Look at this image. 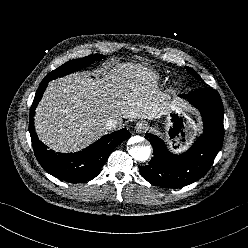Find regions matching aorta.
<instances>
[{"label":"aorta","instance_id":"obj_1","mask_svg":"<svg viewBox=\"0 0 248 248\" xmlns=\"http://www.w3.org/2000/svg\"><path fill=\"white\" fill-rule=\"evenodd\" d=\"M134 142H140L141 138H132ZM129 154L137 161H147L151 156V147L149 145H134L128 149Z\"/></svg>","mask_w":248,"mask_h":248}]
</instances>
